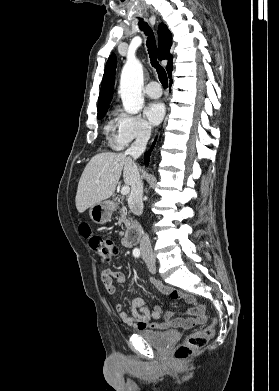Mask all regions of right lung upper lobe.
Masks as SVG:
<instances>
[{"instance_id": "1", "label": "right lung upper lobe", "mask_w": 279, "mask_h": 391, "mask_svg": "<svg viewBox=\"0 0 279 391\" xmlns=\"http://www.w3.org/2000/svg\"><path fill=\"white\" fill-rule=\"evenodd\" d=\"M171 45V32L166 25L161 23L158 27V58L160 60L168 59L166 70L169 77H171L173 69V56L169 53ZM116 63V57L114 54H112L106 63L103 75L101 91L98 99V112L108 109V105L112 100Z\"/></svg>"}]
</instances>
